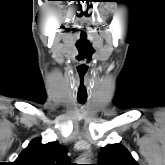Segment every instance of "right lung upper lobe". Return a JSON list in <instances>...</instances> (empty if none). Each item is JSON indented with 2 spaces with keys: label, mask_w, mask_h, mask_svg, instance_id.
Returning a JSON list of instances; mask_svg holds the SVG:
<instances>
[{
  "label": "right lung upper lobe",
  "mask_w": 165,
  "mask_h": 165,
  "mask_svg": "<svg viewBox=\"0 0 165 165\" xmlns=\"http://www.w3.org/2000/svg\"><path fill=\"white\" fill-rule=\"evenodd\" d=\"M15 165H73L67 156V149L57 141L46 144L33 139L18 156Z\"/></svg>",
  "instance_id": "obj_1"
}]
</instances>
